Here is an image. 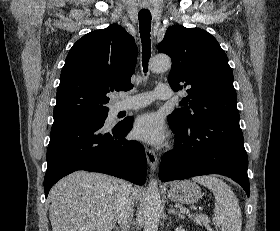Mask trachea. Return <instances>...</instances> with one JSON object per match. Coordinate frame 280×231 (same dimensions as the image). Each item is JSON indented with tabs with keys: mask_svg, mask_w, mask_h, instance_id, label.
I'll use <instances>...</instances> for the list:
<instances>
[{
	"mask_svg": "<svg viewBox=\"0 0 280 231\" xmlns=\"http://www.w3.org/2000/svg\"><path fill=\"white\" fill-rule=\"evenodd\" d=\"M139 29L142 42V59L144 72H147L148 61L151 55L150 46V27H151V13L149 10H140L139 15Z\"/></svg>",
	"mask_w": 280,
	"mask_h": 231,
	"instance_id": "trachea-1",
	"label": "trachea"
}]
</instances>
